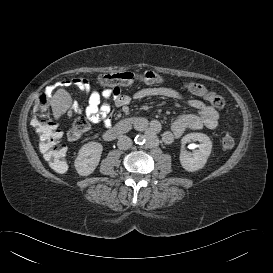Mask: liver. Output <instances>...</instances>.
<instances>
[{
  "instance_id": "obj_1",
  "label": "liver",
  "mask_w": 273,
  "mask_h": 273,
  "mask_svg": "<svg viewBox=\"0 0 273 273\" xmlns=\"http://www.w3.org/2000/svg\"><path fill=\"white\" fill-rule=\"evenodd\" d=\"M72 105V98L65 89H58L51 99V107L55 119L68 111V116H72L70 107Z\"/></svg>"
}]
</instances>
